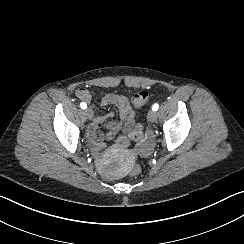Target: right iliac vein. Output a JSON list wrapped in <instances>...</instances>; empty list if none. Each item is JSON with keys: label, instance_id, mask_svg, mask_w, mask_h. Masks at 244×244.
<instances>
[{"label": "right iliac vein", "instance_id": "right-iliac-vein-1", "mask_svg": "<svg viewBox=\"0 0 244 244\" xmlns=\"http://www.w3.org/2000/svg\"><path fill=\"white\" fill-rule=\"evenodd\" d=\"M84 115L91 120L93 118L94 112L92 109L87 108L84 110Z\"/></svg>", "mask_w": 244, "mask_h": 244}]
</instances>
